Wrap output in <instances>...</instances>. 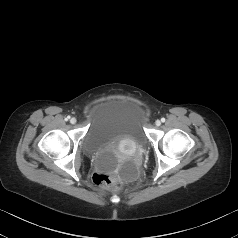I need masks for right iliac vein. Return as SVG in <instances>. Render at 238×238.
<instances>
[{"instance_id":"63e3f726","label":"right iliac vein","mask_w":238,"mask_h":238,"mask_svg":"<svg viewBox=\"0 0 238 238\" xmlns=\"http://www.w3.org/2000/svg\"><path fill=\"white\" fill-rule=\"evenodd\" d=\"M76 122H77V119H76V118L73 117V118L70 119V123H71V124H75Z\"/></svg>"}]
</instances>
